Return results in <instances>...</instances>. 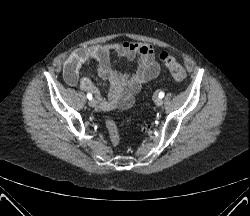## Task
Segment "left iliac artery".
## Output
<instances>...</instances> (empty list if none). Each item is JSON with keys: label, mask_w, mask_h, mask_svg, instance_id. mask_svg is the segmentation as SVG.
Listing matches in <instances>:
<instances>
[{"label": "left iliac artery", "mask_w": 250, "mask_h": 216, "mask_svg": "<svg viewBox=\"0 0 250 216\" xmlns=\"http://www.w3.org/2000/svg\"><path fill=\"white\" fill-rule=\"evenodd\" d=\"M159 97H160V98H163V97H164V92H160V93H159Z\"/></svg>", "instance_id": "1"}]
</instances>
